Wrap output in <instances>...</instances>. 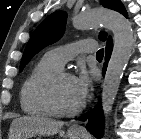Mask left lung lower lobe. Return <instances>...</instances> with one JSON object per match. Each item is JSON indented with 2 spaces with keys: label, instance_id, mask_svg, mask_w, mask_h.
<instances>
[{
  "label": "left lung lower lobe",
  "instance_id": "obj_1",
  "mask_svg": "<svg viewBox=\"0 0 141 139\" xmlns=\"http://www.w3.org/2000/svg\"><path fill=\"white\" fill-rule=\"evenodd\" d=\"M112 52V39L111 37L108 38L107 45H106V62L104 63L103 73H105L107 68L108 60L110 59V55ZM88 119V124L86 126L87 130L90 131L92 135L97 138H101L103 135V125H104V118L100 104H98L90 114H85L79 118L81 121H85Z\"/></svg>",
  "mask_w": 141,
  "mask_h": 139
}]
</instances>
